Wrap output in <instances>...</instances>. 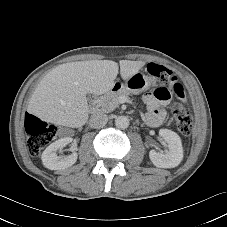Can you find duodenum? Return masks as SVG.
<instances>
[{
	"mask_svg": "<svg viewBox=\"0 0 227 227\" xmlns=\"http://www.w3.org/2000/svg\"><path fill=\"white\" fill-rule=\"evenodd\" d=\"M120 89L119 85H114L112 91H118Z\"/></svg>",
	"mask_w": 227,
	"mask_h": 227,
	"instance_id": "duodenum-1",
	"label": "duodenum"
}]
</instances>
